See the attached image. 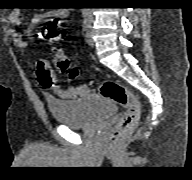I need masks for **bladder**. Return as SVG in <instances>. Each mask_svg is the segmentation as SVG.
<instances>
[{"instance_id":"bladder-1","label":"bladder","mask_w":192,"mask_h":180,"mask_svg":"<svg viewBox=\"0 0 192 180\" xmlns=\"http://www.w3.org/2000/svg\"><path fill=\"white\" fill-rule=\"evenodd\" d=\"M48 109L54 121L70 128H83L114 115L117 107L99 96H87L75 100L50 98Z\"/></svg>"}]
</instances>
